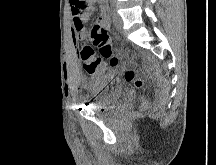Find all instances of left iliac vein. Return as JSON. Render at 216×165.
Instances as JSON below:
<instances>
[{"mask_svg": "<svg viewBox=\"0 0 216 165\" xmlns=\"http://www.w3.org/2000/svg\"><path fill=\"white\" fill-rule=\"evenodd\" d=\"M113 22L117 29H122L123 21H122L121 16L116 11H114L113 13Z\"/></svg>", "mask_w": 216, "mask_h": 165, "instance_id": "left-iliac-vein-1", "label": "left iliac vein"}]
</instances>
